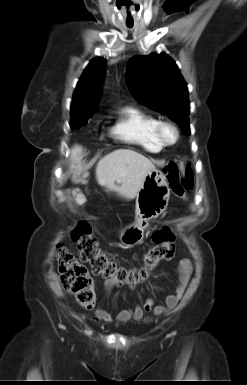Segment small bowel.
Returning <instances> with one entry per match:
<instances>
[{
	"instance_id": "c3829d8e",
	"label": "small bowel",
	"mask_w": 247,
	"mask_h": 385,
	"mask_svg": "<svg viewBox=\"0 0 247 385\" xmlns=\"http://www.w3.org/2000/svg\"><path fill=\"white\" fill-rule=\"evenodd\" d=\"M178 283L173 293L169 294L164 304L154 305L153 299L149 298L143 306L137 305L131 308L123 309L117 313L114 318L108 311H106L101 305L96 306L94 309L95 321L99 322H112L114 320L118 322H127L131 319L140 321L144 318L145 311H153L154 315L169 314L174 311L180 300L182 299L186 288L189 284L192 274V262L189 259L180 260L177 268ZM114 284L106 280L104 284V294H108Z\"/></svg>"
}]
</instances>
